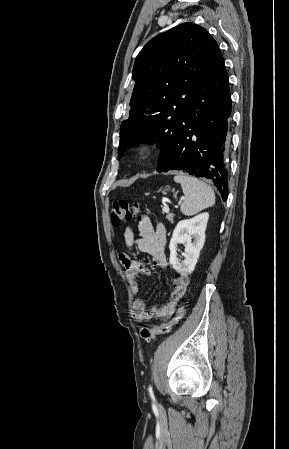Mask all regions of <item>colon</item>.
Segmentation results:
<instances>
[{"label": "colon", "instance_id": "1", "mask_svg": "<svg viewBox=\"0 0 289 449\" xmlns=\"http://www.w3.org/2000/svg\"><path fill=\"white\" fill-rule=\"evenodd\" d=\"M140 212L141 210L138 204H130L123 199L116 200L113 202L111 208V223L114 227H118L122 223L132 220L134 217H138V219H140L142 217V215H140ZM184 313L185 303H182L178 307L174 317L170 321L152 328L142 327L140 329L141 338L149 341L158 335L169 333L172 328L178 324L180 319L184 316Z\"/></svg>", "mask_w": 289, "mask_h": 449}]
</instances>
